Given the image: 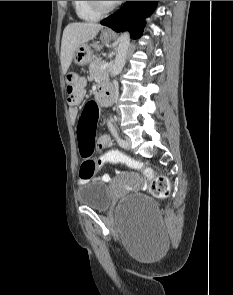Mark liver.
<instances>
[{
    "label": "liver",
    "instance_id": "6515ba94",
    "mask_svg": "<svg viewBox=\"0 0 233 295\" xmlns=\"http://www.w3.org/2000/svg\"><path fill=\"white\" fill-rule=\"evenodd\" d=\"M103 28L102 25L88 22H75L68 24L61 42V66L63 74L68 71L74 53L79 46L92 40Z\"/></svg>",
    "mask_w": 233,
    "mask_h": 295
}]
</instances>
